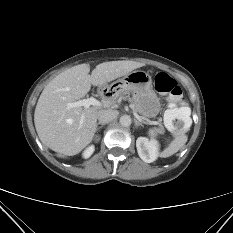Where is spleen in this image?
<instances>
[{
	"label": "spleen",
	"mask_w": 233,
	"mask_h": 233,
	"mask_svg": "<svg viewBox=\"0 0 233 233\" xmlns=\"http://www.w3.org/2000/svg\"><path fill=\"white\" fill-rule=\"evenodd\" d=\"M191 110L189 107H181L175 108L173 105H170V109H167L164 113V121L166 124H172V121L175 119H181L185 123V128H189L192 124V120L190 118ZM148 135L151 138H155L157 136L156 129H150L148 131ZM187 142V136L182 134L176 137L162 153L161 157H169L176 152Z\"/></svg>",
	"instance_id": "spleen-1"
}]
</instances>
